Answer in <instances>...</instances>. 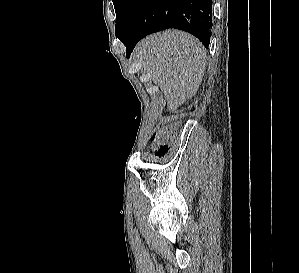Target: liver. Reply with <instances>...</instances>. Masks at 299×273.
Returning <instances> with one entry per match:
<instances>
[{"instance_id":"liver-1","label":"liver","mask_w":299,"mask_h":273,"mask_svg":"<svg viewBox=\"0 0 299 273\" xmlns=\"http://www.w3.org/2000/svg\"><path fill=\"white\" fill-rule=\"evenodd\" d=\"M133 58L151 73L169 109H176L197 91L205 71L206 50L192 35L168 30L143 39Z\"/></svg>"}]
</instances>
